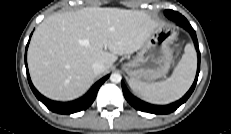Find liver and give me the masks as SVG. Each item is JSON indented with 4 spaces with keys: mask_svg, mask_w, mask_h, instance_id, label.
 <instances>
[{
    "mask_svg": "<svg viewBox=\"0 0 231 134\" xmlns=\"http://www.w3.org/2000/svg\"><path fill=\"white\" fill-rule=\"evenodd\" d=\"M158 24L137 10L87 7L55 13L35 30L28 66L35 87L47 98L71 101L83 95L97 74L108 71L118 55L139 50Z\"/></svg>",
    "mask_w": 231,
    "mask_h": 134,
    "instance_id": "obj_1",
    "label": "liver"
}]
</instances>
